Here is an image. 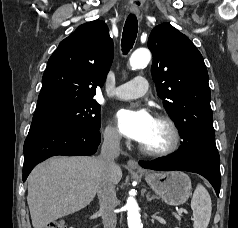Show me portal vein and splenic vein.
I'll return each instance as SVG.
<instances>
[{"label":"portal vein and splenic vein","mask_w":238,"mask_h":228,"mask_svg":"<svg viewBox=\"0 0 238 228\" xmlns=\"http://www.w3.org/2000/svg\"><path fill=\"white\" fill-rule=\"evenodd\" d=\"M183 212H186L184 209L180 208L177 210V214L180 215L182 214Z\"/></svg>","instance_id":"1"}]
</instances>
